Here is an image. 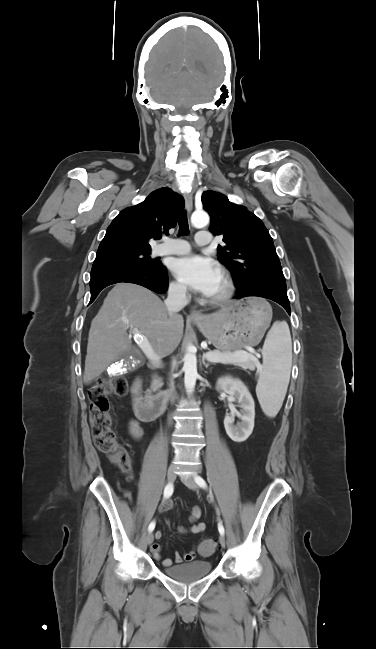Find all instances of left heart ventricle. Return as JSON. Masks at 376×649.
<instances>
[{"label":"left heart ventricle","instance_id":"1","mask_svg":"<svg viewBox=\"0 0 376 649\" xmlns=\"http://www.w3.org/2000/svg\"><path fill=\"white\" fill-rule=\"evenodd\" d=\"M223 289H224V283H223V280H222V278L220 276L218 282L216 283L213 291L211 292V294L209 296H217L223 291Z\"/></svg>","mask_w":376,"mask_h":649}]
</instances>
